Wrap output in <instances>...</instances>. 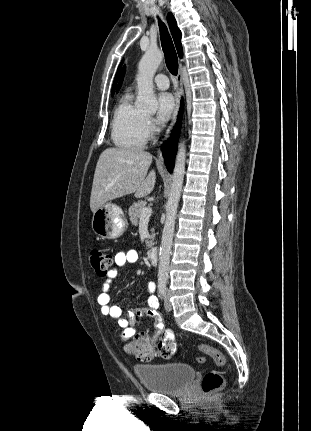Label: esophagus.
Instances as JSON below:
<instances>
[{"mask_svg": "<svg viewBox=\"0 0 311 431\" xmlns=\"http://www.w3.org/2000/svg\"><path fill=\"white\" fill-rule=\"evenodd\" d=\"M183 73H182V68L180 67V70L178 72L177 78H176V103H175V109L172 115V120L170 123V126L167 130V134L165 136V140L170 136L171 130L174 127L177 117H178V112H179V108H180V102H181V98L183 96ZM157 164H161L163 165L164 160H163V155H162V151L159 150L158 155H157V159H156Z\"/></svg>", "mask_w": 311, "mask_h": 431, "instance_id": "34e87169", "label": "esophagus"}]
</instances>
